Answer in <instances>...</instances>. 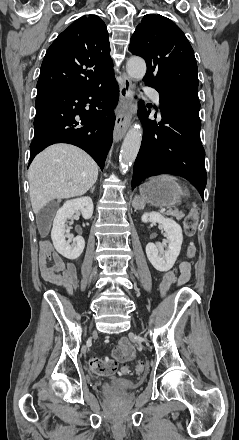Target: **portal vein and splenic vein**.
I'll use <instances>...</instances> for the list:
<instances>
[{"mask_svg":"<svg viewBox=\"0 0 239 440\" xmlns=\"http://www.w3.org/2000/svg\"><path fill=\"white\" fill-rule=\"evenodd\" d=\"M161 211H162V212H165V211H166V209H165V208L163 207V208L161 209Z\"/></svg>","mask_w":239,"mask_h":440,"instance_id":"obj_1","label":"portal vein and splenic vein"}]
</instances>
